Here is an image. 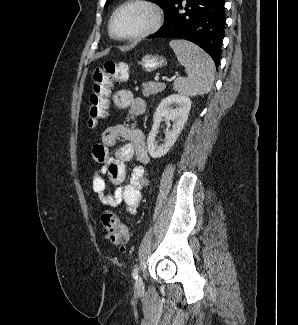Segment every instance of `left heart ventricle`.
Wrapping results in <instances>:
<instances>
[{
  "label": "left heart ventricle",
  "mask_w": 298,
  "mask_h": 325,
  "mask_svg": "<svg viewBox=\"0 0 298 325\" xmlns=\"http://www.w3.org/2000/svg\"><path fill=\"white\" fill-rule=\"evenodd\" d=\"M148 15L139 9L121 11L115 19L114 31L116 36L128 40L138 34L148 24Z\"/></svg>",
  "instance_id": "b2bd125f"
}]
</instances>
